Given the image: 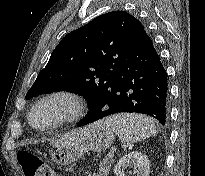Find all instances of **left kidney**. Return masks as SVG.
I'll return each instance as SVG.
<instances>
[{"label": "left kidney", "instance_id": "5707ae66", "mask_svg": "<svg viewBox=\"0 0 205 176\" xmlns=\"http://www.w3.org/2000/svg\"><path fill=\"white\" fill-rule=\"evenodd\" d=\"M127 167H133L134 171H136V176H149V159L141 152L133 151L124 155L115 166L114 173L117 176H122Z\"/></svg>", "mask_w": 205, "mask_h": 176}]
</instances>
